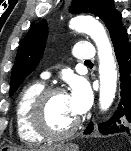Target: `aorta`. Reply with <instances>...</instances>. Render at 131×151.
<instances>
[{
  "mask_svg": "<svg viewBox=\"0 0 131 151\" xmlns=\"http://www.w3.org/2000/svg\"><path fill=\"white\" fill-rule=\"evenodd\" d=\"M70 28L88 34L95 42L99 57L100 92L102 111L107 110L117 88V70L112 47L102 24L90 16H77L70 21Z\"/></svg>",
  "mask_w": 131,
  "mask_h": 151,
  "instance_id": "762f6f07",
  "label": "aorta"
}]
</instances>
